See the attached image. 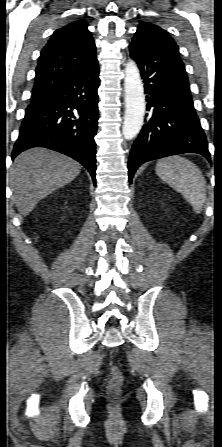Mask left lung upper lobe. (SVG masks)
<instances>
[{"instance_id": "left-lung-upper-lobe-1", "label": "left lung upper lobe", "mask_w": 222, "mask_h": 447, "mask_svg": "<svg viewBox=\"0 0 222 447\" xmlns=\"http://www.w3.org/2000/svg\"><path fill=\"white\" fill-rule=\"evenodd\" d=\"M135 36L156 42L158 44H162L166 48H169L175 53L179 54L178 46L176 45L174 40L168 35L165 30L161 29L159 26L148 22H142L138 26Z\"/></svg>"}]
</instances>
